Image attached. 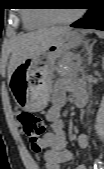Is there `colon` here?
<instances>
[{
    "instance_id": "5ec220e1",
    "label": "colon",
    "mask_w": 104,
    "mask_h": 169,
    "mask_svg": "<svg viewBox=\"0 0 104 169\" xmlns=\"http://www.w3.org/2000/svg\"><path fill=\"white\" fill-rule=\"evenodd\" d=\"M18 123L26 139L30 142L31 149L38 153L40 151L39 140L45 132L44 121L29 112H21L17 116Z\"/></svg>"
}]
</instances>
